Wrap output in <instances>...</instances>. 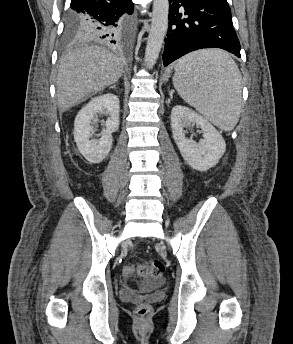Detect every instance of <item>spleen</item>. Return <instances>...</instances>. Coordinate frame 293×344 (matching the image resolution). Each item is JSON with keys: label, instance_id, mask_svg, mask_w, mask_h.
I'll list each match as a JSON object with an SVG mask.
<instances>
[{"label": "spleen", "instance_id": "1", "mask_svg": "<svg viewBox=\"0 0 293 344\" xmlns=\"http://www.w3.org/2000/svg\"><path fill=\"white\" fill-rule=\"evenodd\" d=\"M173 85L189 105L229 131L240 116L242 77L235 61L219 49L190 53L175 64Z\"/></svg>", "mask_w": 293, "mask_h": 344}]
</instances>
